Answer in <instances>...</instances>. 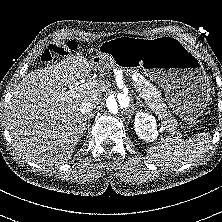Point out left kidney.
Masks as SVG:
<instances>
[{"instance_id": "5707ae66", "label": "left kidney", "mask_w": 222, "mask_h": 222, "mask_svg": "<svg viewBox=\"0 0 222 222\" xmlns=\"http://www.w3.org/2000/svg\"><path fill=\"white\" fill-rule=\"evenodd\" d=\"M136 134L146 142L157 139L156 119L154 116L144 112H137L134 123Z\"/></svg>"}]
</instances>
